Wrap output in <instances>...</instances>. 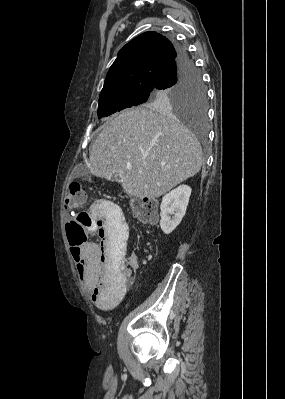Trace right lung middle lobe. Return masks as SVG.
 <instances>
[{"mask_svg": "<svg viewBox=\"0 0 285 399\" xmlns=\"http://www.w3.org/2000/svg\"><path fill=\"white\" fill-rule=\"evenodd\" d=\"M137 105L171 114L174 111L199 126L206 119V91L194 66L186 70L176 83L162 89H134L100 97L98 118Z\"/></svg>", "mask_w": 285, "mask_h": 399, "instance_id": "right-lung-middle-lobe-1", "label": "right lung middle lobe"}]
</instances>
